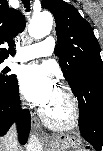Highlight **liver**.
Here are the masks:
<instances>
[{
	"instance_id": "obj_1",
	"label": "liver",
	"mask_w": 103,
	"mask_h": 151,
	"mask_svg": "<svg viewBox=\"0 0 103 151\" xmlns=\"http://www.w3.org/2000/svg\"><path fill=\"white\" fill-rule=\"evenodd\" d=\"M2 149H5L4 147H2ZM19 149H20V146H19V144H18V142H17V145L13 148V151H19ZM4 151V150H3Z\"/></svg>"
}]
</instances>
